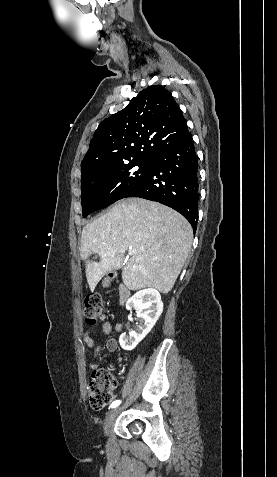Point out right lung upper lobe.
I'll return each mask as SVG.
<instances>
[{
	"instance_id": "right-lung-upper-lobe-1",
	"label": "right lung upper lobe",
	"mask_w": 277,
	"mask_h": 477,
	"mask_svg": "<svg viewBox=\"0 0 277 477\" xmlns=\"http://www.w3.org/2000/svg\"><path fill=\"white\" fill-rule=\"evenodd\" d=\"M188 134L186 120L171 93L161 85L149 86L99 124L81 171L151 161Z\"/></svg>"
}]
</instances>
